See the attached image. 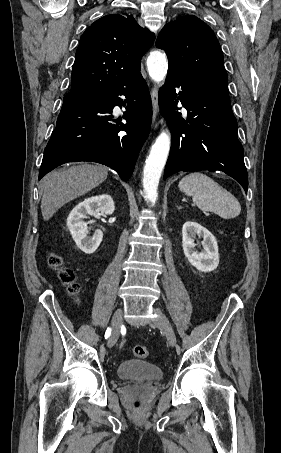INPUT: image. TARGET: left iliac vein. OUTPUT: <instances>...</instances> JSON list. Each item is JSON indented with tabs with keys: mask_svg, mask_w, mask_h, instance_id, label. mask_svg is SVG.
I'll list each match as a JSON object with an SVG mask.
<instances>
[{
	"mask_svg": "<svg viewBox=\"0 0 281 453\" xmlns=\"http://www.w3.org/2000/svg\"><path fill=\"white\" fill-rule=\"evenodd\" d=\"M158 312V318H155L156 320H152V325H156L157 328L161 329L162 331H165V337H167L168 343L171 345H176L177 344V339L174 331L172 330L169 321L167 320V317H165L162 313H160V310H154ZM160 315V316H159Z\"/></svg>",
	"mask_w": 281,
	"mask_h": 453,
	"instance_id": "obj_1",
	"label": "left iliac vein"
}]
</instances>
